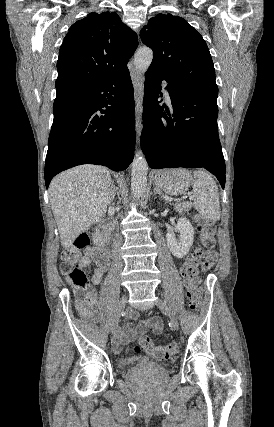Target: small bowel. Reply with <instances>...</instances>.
Instances as JSON below:
<instances>
[{
  "mask_svg": "<svg viewBox=\"0 0 274 427\" xmlns=\"http://www.w3.org/2000/svg\"><path fill=\"white\" fill-rule=\"evenodd\" d=\"M211 256H217L218 250L211 249ZM91 261L94 263V271L90 275L89 279L93 284L101 282L104 273L108 270L110 259L105 248H102L98 244L96 246L88 247L84 250L83 255L78 260V267L83 269L90 265ZM207 270H214L216 264L214 261H207L205 263ZM79 314L85 318H91L93 316L92 309L87 302H78L76 304ZM137 318L136 314L129 316L130 321L127 322L124 330H117L113 335V345L116 349H121L123 346L134 341L139 334H145L149 330L157 334L162 330V324L158 317H150L142 320L135 328L133 321Z\"/></svg>",
  "mask_w": 274,
  "mask_h": 427,
  "instance_id": "1",
  "label": "small bowel"
}]
</instances>
